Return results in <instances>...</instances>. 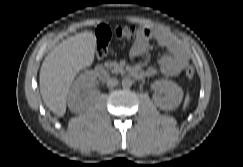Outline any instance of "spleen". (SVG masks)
Instances as JSON below:
<instances>
[{"instance_id":"3e777b00","label":"spleen","mask_w":243,"mask_h":167,"mask_svg":"<svg viewBox=\"0 0 243 167\" xmlns=\"http://www.w3.org/2000/svg\"><path fill=\"white\" fill-rule=\"evenodd\" d=\"M189 101H190L189 95H187L185 98L184 106H183L184 109L189 105Z\"/></svg>"}]
</instances>
